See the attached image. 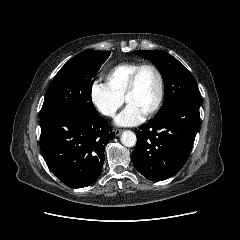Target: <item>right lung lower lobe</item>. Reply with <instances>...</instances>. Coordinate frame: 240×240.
<instances>
[{
  "label": "right lung lower lobe",
  "mask_w": 240,
  "mask_h": 240,
  "mask_svg": "<svg viewBox=\"0 0 240 240\" xmlns=\"http://www.w3.org/2000/svg\"><path fill=\"white\" fill-rule=\"evenodd\" d=\"M41 153L49 169L72 188L92 184L104 164V149L115 136L99 114L60 111L40 119Z\"/></svg>",
  "instance_id": "1"
}]
</instances>
